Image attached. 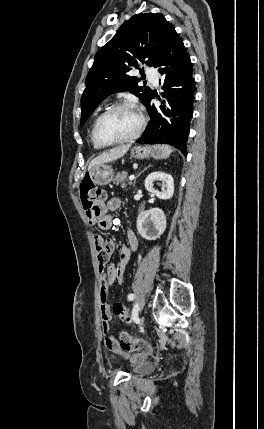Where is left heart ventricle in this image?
Wrapping results in <instances>:
<instances>
[{
  "mask_svg": "<svg viewBox=\"0 0 264 429\" xmlns=\"http://www.w3.org/2000/svg\"><path fill=\"white\" fill-rule=\"evenodd\" d=\"M134 111L121 109L108 114L98 127V136L104 142H112L130 136L138 127Z\"/></svg>",
  "mask_w": 264,
  "mask_h": 429,
  "instance_id": "obj_1",
  "label": "left heart ventricle"
}]
</instances>
